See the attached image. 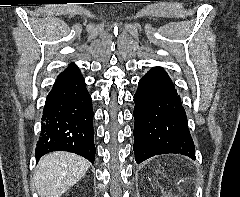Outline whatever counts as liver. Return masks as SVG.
<instances>
[{"label": "liver", "instance_id": "liver-1", "mask_svg": "<svg viewBox=\"0 0 240 197\" xmlns=\"http://www.w3.org/2000/svg\"><path fill=\"white\" fill-rule=\"evenodd\" d=\"M85 158L57 151L43 156L36 167L34 183L40 197H61L89 169Z\"/></svg>", "mask_w": 240, "mask_h": 197}]
</instances>
